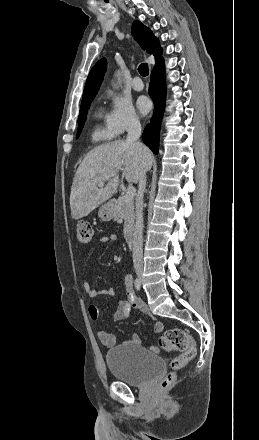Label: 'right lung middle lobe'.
I'll return each mask as SVG.
<instances>
[{
  "label": "right lung middle lobe",
  "mask_w": 259,
  "mask_h": 440,
  "mask_svg": "<svg viewBox=\"0 0 259 440\" xmlns=\"http://www.w3.org/2000/svg\"><path fill=\"white\" fill-rule=\"evenodd\" d=\"M93 98L88 99V100H84L81 103V109H80V113H79V117H78V131H77V137L79 136L83 126H84V122L86 119V114L87 111L89 109V106L92 102Z\"/></svg>",
  "instance_id": "dd1d6c3e"
}]
</instances>
